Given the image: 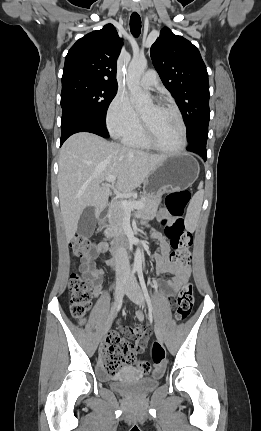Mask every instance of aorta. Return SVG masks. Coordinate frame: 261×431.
I'll return each instance as SVG.
<instances>
[{
  "label": "aorta",
  "mask_w": 261,
  "mask_h": 431,
  "mask_svg": "<svg viewBox=\"0 0 261 431\" xmlns=\"http://www.w3.org/2000/svg\"><path fill=\"white\" fill-rule=\"evenodd\" d=\"M147 68V60L145 58H133L129 64L126 82L131 95V102L137 108L146 106L151 103L150 93L142 89L140 86L141 75ZM143 254L141 248L138 247L134 256L135 265H141Z\"/></svg>",
  "instance_id": "obj_1"
}]
</instances>
